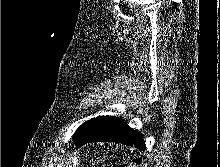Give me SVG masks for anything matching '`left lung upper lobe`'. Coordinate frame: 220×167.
<instances>
[{
	"instance_id": "5c2ea615",
	"label": "left lung upper lobe",
	"mask_w": 220,
	"mask_h": 167,
	"mask_svg": "<svg viewBox=\"0 0 220 167\" xmlns=\"http://www.w3.org/2000/svg\"><path fill=\"white\" fill-rule=\"evenodd\" d=\"M97 118H93L91 120H88L87 122H84L75 132V134L73 135V141H77L79 140L84 133L89 129V127L94 123V121Z\"/></svg>"
}]
</instances>
